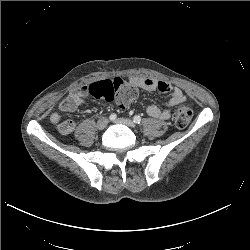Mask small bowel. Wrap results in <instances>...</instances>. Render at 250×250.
Masks as SVG:
<instances>
[{
  "mask_svg": "<svg viewBox=\"0 0 250 250\" xmlns=\"http://www.w3.org/2000/svg\"><path fill=\"white\" fill-rule=\"evenodd\" d=\"M118 82L120 88H132L137 94L139 89L147 91H160L170 94V99L165 109H161L158 106L151 105L147 108L149 116L157 119L167 120L171 117L172 108L185 101L186 97L182 90L168 82L158 81L151 78L132 77L128 81H123L120 78L114 79ZM88 95V87L84 86L76 91L70 93L59 104V110L61 112H73L80 105L85 102ZM50 121L57 126L58 132L61 135H69L75 130V123L72 120L61 121V114L54 112L50 116Z\"/></svg>",
  "mask_w": 250,
  "mask_h": 250,
  "instance_id": "c3829d8e",
  "label": "small bowel"
}]
</instances>
